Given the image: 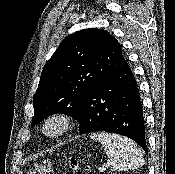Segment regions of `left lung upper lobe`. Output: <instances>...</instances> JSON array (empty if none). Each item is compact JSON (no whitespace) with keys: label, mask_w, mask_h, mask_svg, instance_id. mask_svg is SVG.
<instances>
[{"label":"left lung upper lobe","mask_w":175,"mask_h":174,"mask_svg":"<svg viewBox=\"0 0 175 174\" xmlns=\"http://www.w3.org/2000/svg\"><path fill=\"white\" fill-rule=\"evenodd\" d=\"M121 57L119 42L105 30L84 29L68 36L43 68L33 98L32 127L55 113L77 119L85 94Z\"/></svg>","instance_id":"obj_1"}]
</instances>
